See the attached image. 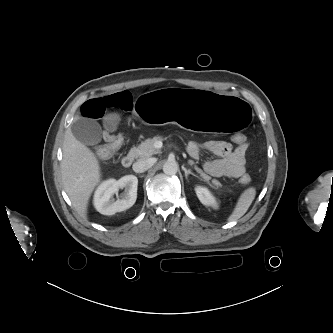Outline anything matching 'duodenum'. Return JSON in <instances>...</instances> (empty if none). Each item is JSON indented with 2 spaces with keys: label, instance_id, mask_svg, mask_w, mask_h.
I'll return each mask as SVG.
<instances>
[{
  "label": "duodenum",
  "instance_id": "duodenum-1",
  "mask_svg": "<svg viewBox=\"0 0 333 333\" xmlns=\"http://www.w3.org/2000/svg\"><path fill=\"white\" fill-rule=\"evenodd\" d=\"M133 160H134L133 155H131V154L126 155L122 159V165H123V167H125V168L130 167L132 165V163H133Z\"/></svg>",
  "mask_w": 333,
  "mask_h": 333
}]
</instances>
